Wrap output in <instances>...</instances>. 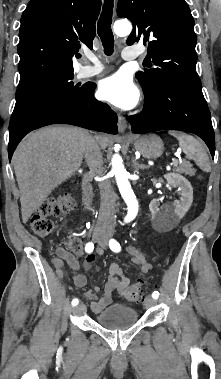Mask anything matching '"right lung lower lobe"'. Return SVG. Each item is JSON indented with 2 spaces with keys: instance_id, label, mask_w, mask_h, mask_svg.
<instances>
[{
  "instance_id": "98d812e1",
  "label": "right lung lower lobe",
  "mask_w": 221,
  "mask_h": 379,
  "mask_svg": "<svg viewBox=\"0 0 221 379\" xmlns=\"http://www.w3.org/2000/svg\"><path fill=\"white\" fill-rule=\"evenodd\" d=\"M95 85L66 103L41 109L9 130L8 154H12L21 139L30 131L50 124H71L86 129L117 134V115L111 108L94 98Z\"/></svg>"
}]
</instances>
